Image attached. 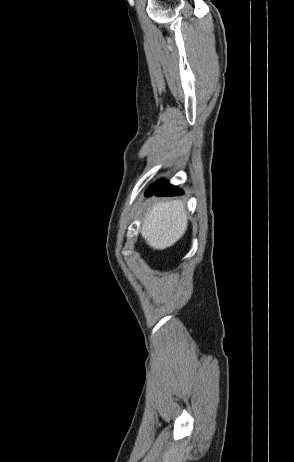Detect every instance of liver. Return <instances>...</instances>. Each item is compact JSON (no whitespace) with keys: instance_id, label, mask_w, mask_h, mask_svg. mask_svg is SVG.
Wrapping results in <instances>:
<instances>
[{"instance_id":"liver-1","label":"liver","mask_w":294,"mask_h":462,"mask_svg":"<svg viewBox=\"0 0 294 462\" xmlns=\"http://www.w3.org/2000/svg\"><path fill=\"white\" fill-rule=\"evenodd\" d=\"M187 226L188 215L182 201L157 202L144 216L141 235L151 248L163 250L174 245Z\"/></svg>"}]
</instances>
